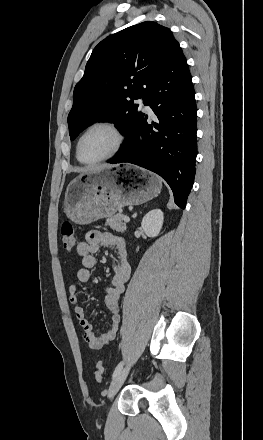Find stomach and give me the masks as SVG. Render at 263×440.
Segmentation results:
<instances>
[{
  "instance_id": "1",
  "label": "stomach",
  "mask_w": 263,
  "mask_h": 440,
  "mask_svg": "<svg viewBox=\"0 0 263 440\" xmlns=\"http://www.w3.org/2000/svg\"><path fill=\"white\" fill-rule=\"evenodd\" d=\"M125 168L129 173L103 168L74 178L65 191L66 216L76 224H89L113 216L124 206L143 204L160 193L157 175L136 167Z\"/></svg>"
}]
</instances>
